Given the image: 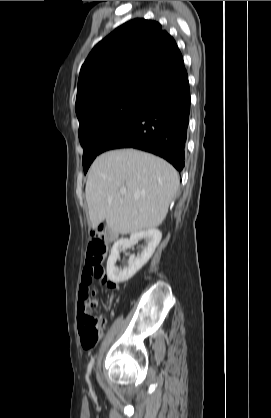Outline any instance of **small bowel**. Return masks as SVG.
I'll return each mask as SVG.
<instances>
[{"mask_svg": "<svg viewBox=\"0 0 271 418\" xmlns=\"http://www.w3.org/2000/svg\"><path fill=\"white\" fill-rule=\"evenodd\" d=\"M102 283H104L109 288H116V284L109 281L107 278H106V281L105 282L102 281ZM89 285H90V282H87V270L85 267L82 273V281H81V286H80V291H79V304H78L79 312L82 309H87L91 311L97 305V300L95 299H91L87 301L83 300V293L89 287Z\"/></svg>", "mask_w": 271, "mask_h": 418, "instance_id": "small-bowel-1", "label": "small bowel"}]
</instances>
